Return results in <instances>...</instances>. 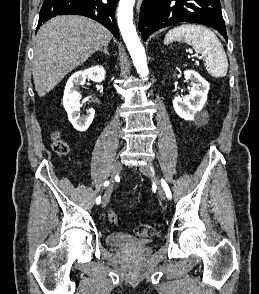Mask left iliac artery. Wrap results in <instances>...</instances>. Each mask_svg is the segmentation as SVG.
Instances as JSON below:
<instances>
[{"mask_svg":"<svg viewBox=\"0 0 259 294\" xmlns=\"http://www.w3.org/2000/svg\"><path fill=\"white\" fill-rule=\"evenodd\" d=\"M161 184H162V187L165 190V193H166L167 198L168 199H171V197H172L171 190H170L168 184L166 183V181L164 179H161Z\"/></svg>","mask_w":259,"mask_h":294,"instance_id":"left-iliac-artery-1","label":"left iliac artery"}]
</instances>
